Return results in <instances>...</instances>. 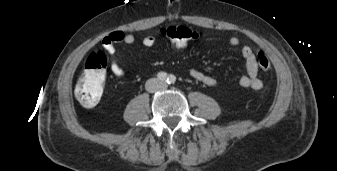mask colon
Instances as JSON below:
<instances>
[{
    "mask_svg": "<svg viewBox=\"0 0 337 171\" xmlns=\"http://www.w3.org/2000/svg\"><path fill=\"white\" fill-rule=\"evenodd\" d=\"M167 36L169 46L174 50L181 49L189 41L196 39L199 34L184 26H170L161 30ZM258 67L262 72L271 68L270 61L263 52L257 53ZM107 60L101 51H93L86 60L84 70L75 86L79 103L84 107L95 106L103 94L106 78Z\"/></svg>",
    "mask_w": 337,
    "mask_h": 171,
    "instance_id": "5ec220e1",
    "label": "colon"
}]
</instances>
